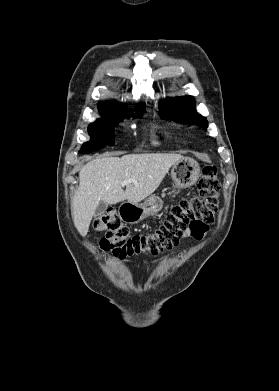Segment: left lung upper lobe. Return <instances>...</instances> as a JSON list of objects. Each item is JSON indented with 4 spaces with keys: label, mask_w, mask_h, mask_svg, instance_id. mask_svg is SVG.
<instances>
[{
    "label": "left lung upper lobe",
    "mask_w": 279,
    "mask_h": 391,
    "mask_svg": "<svg viewBox=\"0 0 279 391\" xmlns=\"http://www.w3.org/2000/svg\"><path fill=\"white\" fill-rule=\"evenodd\" d=\"M160 116L183 124L197 123L206 129L208 122L205 117L195 111V101L192 96L167 98L160 102Z\"/></svg>",
    "instance_id": "1"
}]
</instances>
